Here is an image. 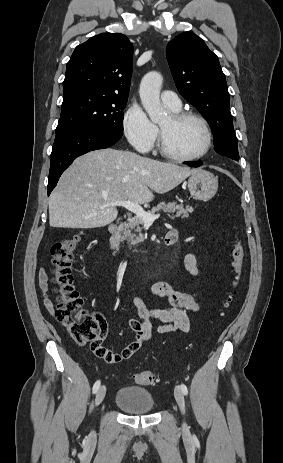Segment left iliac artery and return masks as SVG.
Masks as SVG:
<instances>
[{"label": "left iliac artery", "mask_w": 283, "mask_h": 463, "mask_svg": "<svg viewBox=\"0 0 283 463\" xmlns=\"http://www.w3.org/2000/svg\"><path fill=\"white\" fill-rule=\"evenodd\" d=\"M180 389L185 395L188 394V389H187V386L185 384H181Z\"/></svg>", "instance_id": "44dca946"}]
</instances>
